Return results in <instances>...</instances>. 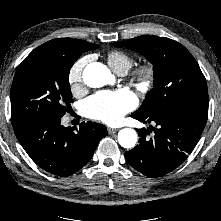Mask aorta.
<instances>
[{
  "instance_id": "762f6f07",
  "label": "aorta",
  "mask_w": 221,
  "mask_h": 221,
  "mask_svg": "<svg viewBox=\"0 0 221 221\" xmlns=\"http://www.w3.org/2000/svg\"><path fill=\"white\" fill-rule=\"evenodd\" d=\"M83 81L91 88H99L107 85L112 75L110 70L100 62L89 63L83 71ZM138 140L137 132L131 128L121 129L118 133V142L123 148H133Z\"/></svg>"
}]
</instances>
